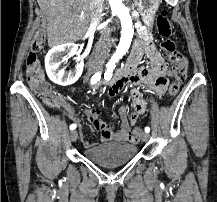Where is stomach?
Segmentation results:
<instances>
[{"instance_id": "stomach-1", "label": "stomach", "mask_w": 217, "mask_h": 202, "mask_svg": "<svg viewBox=\"0 0 217 202\" xmlns=\"http://www.w3.org/2000/svg\"><path fill=\"white\" fill-rule=\"evenodd\" d=\"M141 18L148 30H152L160 0H134Z\"/></svg>"}]
</instances>
